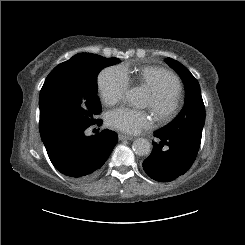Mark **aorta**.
Masks as SVG:
<instances>
[{
  "label": "aorta",
  "mask_w": 245,
  "mask_h": 245,
  "mask_svg": "<svg viewBox=\"0 0 245 245\" xmlns=\"http://www.w3.org/2000/svg\"><path fill=\"white\" fill-rule=\"evenodd\" d=\"M126 100L129 104L142 107L144 105L143 93L138 88H132L126 92ZM132 149L136 155L147 156L151 152V144L145 138H137L133 144Z\"/></svg>",
  "instance_id": "1"
}]
</instances>
